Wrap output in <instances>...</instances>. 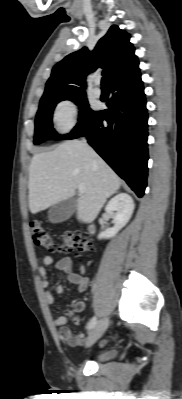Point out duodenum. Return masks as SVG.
Listing matches in <instances>:
<instances>
[{
  "label": "duodenum",
  "instance_id": "duodenum-1",
  "mask_svg": "<svg viewBox=\"0 0 182 399\" xmlns=\"http://www.w3.org/2000/svg\"><path fill=\"white\" fill-rule=\"evenodd\" d=\"M88 230L91 234H93L95 232V227L94 225H89Z\"/></svg>",
  "mask_w": 182,
  "mask_h": 399
}]
</instances>
